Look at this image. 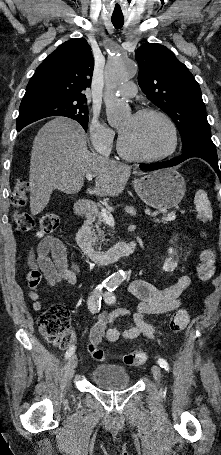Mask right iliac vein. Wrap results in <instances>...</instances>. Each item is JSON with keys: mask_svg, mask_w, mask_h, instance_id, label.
<instances>
[{"mask_svg": "<svg viewBox=\"0 0 221 455\" xmlns=\"http://www.w3.org/2000/svg\"><path fill=\"white\" fill-rule=\"evenodd\" d=\"M78 359L76 355H72L69 359L68 366L70 370H74L77 367Z\"/></svg>", "mask_w": 221, "mask_h": 455, "instance_id": "right-iliac-vein-1", "label": "right iliac vein"}]
</instances>
